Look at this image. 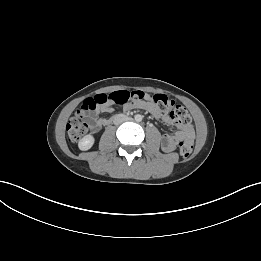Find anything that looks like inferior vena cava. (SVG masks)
Returning <instances> with one entry per match:
<instances>
[{
  "instance_id": "obj_1",
  "label": "inferior vena cava",
  "mask_w": 261,
  "mask_h": 261,
  "mask_svg": "<svg viewBox=\"0 0 261 261\" xmlns=\"http://www.w3.org/2000/svg\"><path fill=\"white\" fill-rule=\"evenodd\" d=\"M127 120H128V117H127L126 115H124V114H119V115H117V116L115 117L114 123H115V124H120V123L125 122V121H127Z\"/></svg>"
}]
</instances>
